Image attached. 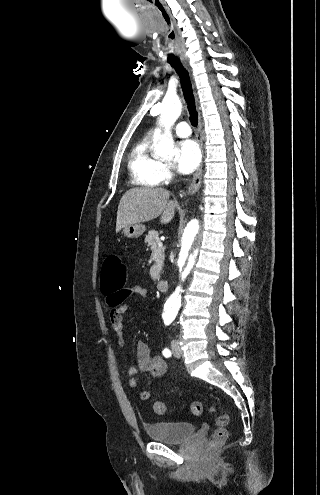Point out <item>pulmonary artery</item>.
I'll return each mask as SVG.
<instances>
[{"label": "pulmonary artery", "mask_w": 320, "mask_h": 495, "mask_svg": "<svg viewBox=\"0 0 320 495\" xmlns=\"http://www.w3.org/2000/svg\"><path fill=\"white\" fill-rule=\"evenodd\" d=\"M160 130H154L155 134H158ZM175 132L179 137H188L191 134V129L187 122H179L175 127Z\"/></svg>", "instance_id": "pulmonary-artery-1"}]
</instances>
